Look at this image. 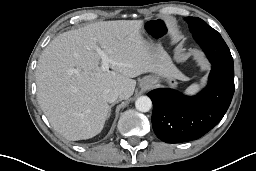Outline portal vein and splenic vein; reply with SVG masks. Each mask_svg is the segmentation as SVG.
Wrapping results in <instances>:
<instances>
[{"mask_svg":"<svg viewBox=\"0 0 256 171\" xmlns=\"http://www.w3.org/2000/svg\"><path fill=\"white\" fill-rule=\"evenodd\" d=\"M97 52L101 58V69L103 71H108L109 70V65L111 64H115V62L113 60H111L105 53L103 50L101 49H97Z\"/></svg>","mask_w":256,"mask_h":171,"instance_id":"18ae733b","label":"portal vein and splenic vein"}]
</instances>
